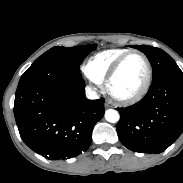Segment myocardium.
I'll return each mask as SVG.
<instances>
[{"instance_id":"f54148a6","label":"myocardium","mask_w":183,"mask_h":183,"mask_svg":"<svg viewBox=\"0 0 183 183\" xmlns=\"http://www.w3.org/2000/svg\"><path fill=\"white\" fill-rule=\"evenodd\" d=\"M133 54L139 55L142 60L144 61L145 67H146V77L144 80L143 85L141 88L134 94L129 95V96H118L115 93L111 91L110 84L118 70L120 69L121 65L123 62ZM152 77H153V72H152V67L151 63L148 59V57L141 51L136 50V49H131L125 52L123 55H121L110 67L108 70L106 76H105V87L109 94L118 102L122 104H133L138 101H140L149 91L151 83H152Z\"/></svg>"}]
</instances>
